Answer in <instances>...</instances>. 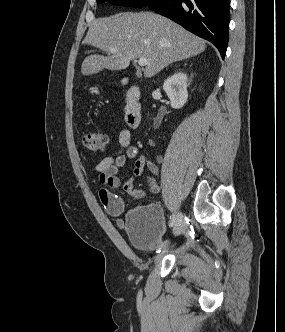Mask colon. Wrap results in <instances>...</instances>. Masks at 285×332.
Wrapping results in <instances>:
<instances>
[{"label": "colon", "instance_id": "obj_1", "mask_svg": "<svg viewBox=\"0 0 285 332\" xmlns=\"http://www.w3.org/2000/svg\"><path fill=\"white\" fill-rule=\"evenodd\" d=\"M81 140L83 145L93 152L103 151L107 144V136L102 132H85Z\"/></svg>", "mask_w": 285, "mask_h": 332}]
</instances>
